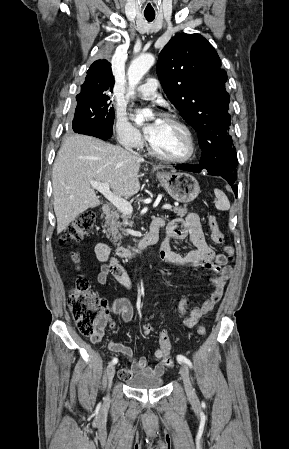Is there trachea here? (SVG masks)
Segmentation results:
<instances>
[{
  "mask_svg": "<svg viewBox=\"0 0 289 449\" xmlns=\"http://www.w3.org/2000/svg\"><path fill=\"white\" fill-rule=\"evenodd\" d=\"M144 16L147 19V21L151 22L155 18V13H144Z\"/></svg>",
  "mask_w": 289,
  "mask_h": 449,
  "instance_id": "trachea-1",
  "label": "trachea"
}]
</instances>
